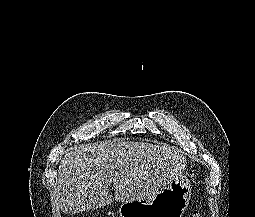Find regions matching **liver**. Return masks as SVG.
Returning <instances> with one entry per match:
<instances>
[{
    "label": "liver",
    "instance_id": "6515ba94",
    "mask_svg": "<svg viewBox=\"0 0 255 217\" xmlns=\"http://www.w3.org/2000/svg\"><path fill=\"white\" fill-rule=\"evenodd\" d=\"M187 161L174 148L139 142L76 145L60 160L55 204L73 214L152 198L181 176ZM113 183L115 195L109 193Z\"/></svg>",
    "mask_w": 255,
    "mask_h": 217
}]
</instances>
